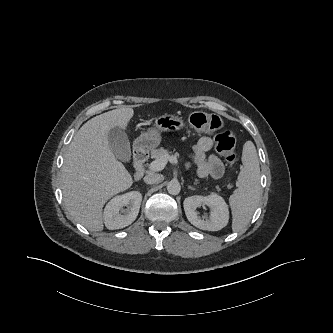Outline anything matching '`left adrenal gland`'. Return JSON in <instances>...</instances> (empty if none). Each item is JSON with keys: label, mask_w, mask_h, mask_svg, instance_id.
Listing matches in <instances>:
<instances>
[{"label": "left adrenal gland", "mask_w": 333, "mask_h": 333, "mask_svg": "<svg viewBox=\"0 0 333 333\" xmlns=\"http://www.w3.org/2000/svg\"><path fill=\"white\" fill-rule=\"evenodd\" d=\"M188 188L191 189V190H195V188L192 187V186H188Z\"/></svg>", "instance_id": "left-adrenal-gland-1"}]
</instances>
